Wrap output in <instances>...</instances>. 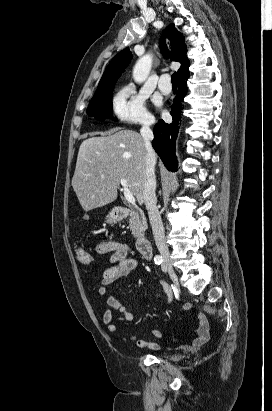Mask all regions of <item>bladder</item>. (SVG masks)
Instances as JSON below:
<instances>
[{"instance_id": "31cf9c89", "label": "bladder", "mask_w": 272, "mask_h": 411, "mask_svg": "<svg viewBox=\"0 0 272 411\" xmlns=\"http://www.w3.org/2000/svg\"><path fill=\"white\" fill-rule=\"evenodd\" d=\"M167 358H168V360H170L172 362H176V361H179L181 357L178 356V355H172V356H169Z\"/></svg>"}]
</instances>
